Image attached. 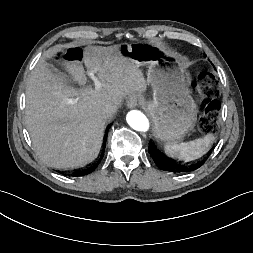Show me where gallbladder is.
<instances>
[{"label":"gallbladder","mask_w":253,"mask_h":253,"mask_svg":"<svg viewBox=\"0 0 253 253\" xmlns=\"http://www.w3.org/2000/svg\"><path fill=\"white\" fill-rule=\"evenodd\" d=\"M46 68L48 69L49 72H51L52 74H54L55 76H57L58 78H60L62 81H64V82H68L69 81L68 76L65 73L59 71L52 64L46 63Z\"/></svg>","instance_id":"gallbladder-1"}]
</instances>
